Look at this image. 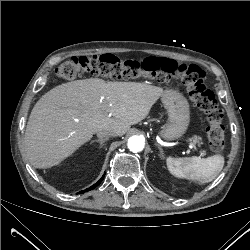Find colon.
<instances>
[{"label": "colon", "mask_w": 250, "mask_h": 250, "mask_svg": "<svg viewBox=\"0 0 250 250\" xmlns=\"http://www.w3.org/2000/svg\"><path fill=\"white\" fill-rule=\"evenodd\" d=\"M64 80H73L82 74L111 79L150 78L161 83L180 80L190 100L205 114L208 126L206 136L213 151H221L226 140L223 112L213 92L205 84V73L196 64L177 63L171 59H120L112 54L74 57L56 69Z\"/></svg>", "instance_id": "5ec220e1"}]
</instances>
